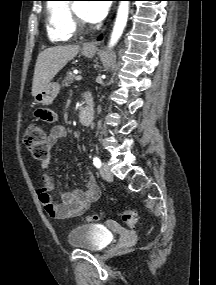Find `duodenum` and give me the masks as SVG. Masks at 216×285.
I'll return each instance as SVG.
<instances>
[{"label": "duodenum", "instance_id": "duodenum-1", "mask_svg": "<svg viewBox=\"0 0 216 285\" xmlns=\"http://www.w3.org/2000/svg\"><path fill=\"white\" fill-rule=\"evenodd\" d=\"M94 118L93 107L89 104H86L81 107L79 112V119L83 125H89Z\"/></svg>", "mask_w": 216, "mask_h": 285}]
</instances>
